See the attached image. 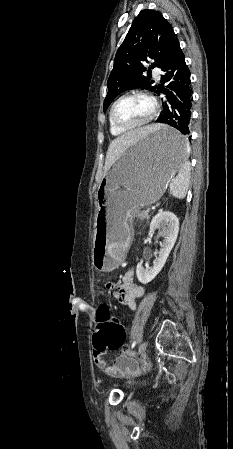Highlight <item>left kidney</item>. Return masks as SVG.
Masks as SVG:
<instances>
[{"label": "left kidney", "instance_id": "left-kidney-1", "mask_svg": "<svg viewBox=\"0 0 233 449\" xmlns=\"http://www.w3.org/2000/svg\"><path fill=\"white\" fill-rule=\"evenodd\" d=\"M161 230L163 236V243L156 258L154 266L150 269L144 268L141 263L137 264L136 275L142 284L151 282L162 270L165 262L176 242L179 231V220L177 216L169 211L159 212L150 223V230Z\"/></svg>", "mask_w": 233, "mask_h": 449}]
</instances>
